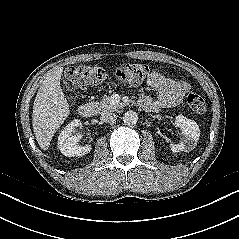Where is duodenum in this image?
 Returning <instances> with one entry per match:
<instances>
[{"instance_id": "410a0bca", "label": "duodenum", "mask_w": 239, "mask_h": 239, "mask_svg": "<svg viewBox=\"0 0 239 239\" xmlns=\"http://www.w3.org/2000/svg\"><path fill=\"white\" fill-rule=\"evenodd\" d=\"M93 107L90 104H81L78 108V113L83 118H89L93 114Z\"/></svg>"}]
</instances>
